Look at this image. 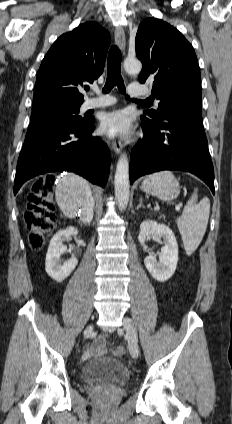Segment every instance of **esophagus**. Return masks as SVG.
Masks as SVG:
<instances>
[{
  "instance_id": "1",
  "label": "esophagus",
  "mask_w": 232,
  "mask_h": 424,
  "mask_svg": "<svg viewBox=\"0 0 232 424\" xmlns=\"http://www.w3.org/2000/svg\"><path fill=\"white\" fill-rule=\"evenodd\" d=\"M115 41L118 47L124 51L126 46L125 33L122 27H116L115 29ZM112 149L116 154H119L122 150V144L119 140L112 142Z\"/></svg>"
}]
</instances>
